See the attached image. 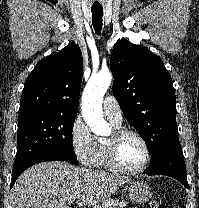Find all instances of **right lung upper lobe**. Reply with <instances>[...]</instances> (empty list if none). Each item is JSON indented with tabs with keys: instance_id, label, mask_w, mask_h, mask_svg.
Masks as SVG:
<instances>
[{
	"instance_id": "1",
	"label": "right lung upper lobe",
	"mask_w": 199,
	"mask_h": 208,
	"mask_svg": "<svg viewBox=\"0 0 199 208\" xmlns=\"http://www.w3.org/2000/svg\"><path fill=\"white\" fill-rule=\"evenodd\" d=\"M82 69V53L75 43L40 60L25 81L19 113L77 114Z\"/></svg>"
}]
</instances>
